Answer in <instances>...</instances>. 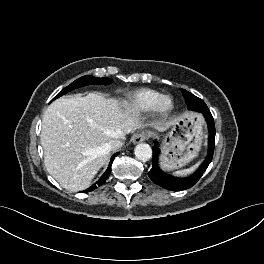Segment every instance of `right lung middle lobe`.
<instances>
[{
  "instance_id": "1",
  "label": "right lung middle lobe",
  "mask_w": 264,
  "mask_h": 264,
  "mask_svg": "<svg viewBox=\"0 0 264 264\" xmlns=\"http://www.w3.org/2000/svg\"><path fill=\"white\" fill-rule=\"evenodd\" d=\"M110 83H113V81L111 79H109V78H96V77H93V76L86 75V76H83V77L75 80L69 86L65 87L60 93H58L54 97V99L66 94L67 92H69V91H71L73 89L80 88L82 86H86V85H90V84L107 85V84H110Z\"/></svg>"
}]
</instances>
